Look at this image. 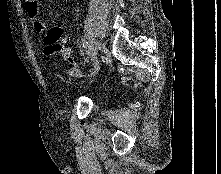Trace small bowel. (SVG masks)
<instances>
[{
  "mask_svg": "<svg viewBox=\"0 0 221 174\" xmlns=\"http://www.w3.org/2000/svg\"><path fill=\"white\" fill-rule=\"evenodd\" d=\"M24 6L31 20L34 30L37 33H44L46 30V25L44 24V22L42 21L40 17L38 0H24ZM54 28L59 29L63 33L62 26H56V27H53L52 29ZM44 43H45V48H44L45 56H52L56 54L53 50L54 43L48 39V33L45 35Z\"/></svg>",
  "mask_w": 221,
  "mask_h": 174,
  "instance_id": "1",
  "label": "small bowel"
}]
</instances>
